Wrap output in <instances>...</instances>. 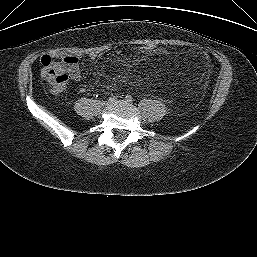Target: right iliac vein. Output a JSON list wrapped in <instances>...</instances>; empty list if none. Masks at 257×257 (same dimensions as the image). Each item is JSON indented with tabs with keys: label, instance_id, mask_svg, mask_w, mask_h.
<instances>
[{
	"label": "right iliac vein",
	"instance_id": "obj_1",
	"mask_svg": "<svg viewBox=\"0 0 257 257\" xmlns=\"http://www.w3.org/2000/svg\"><path fill=\"white\" fill-rule=\"evenodd\" d=\"M102 104H103L104 106H107V105L110 104V102H109V101H103Z\"/></svg>",
	"mask_w": 257,
	"mask_h": 257
}]
</instances>
